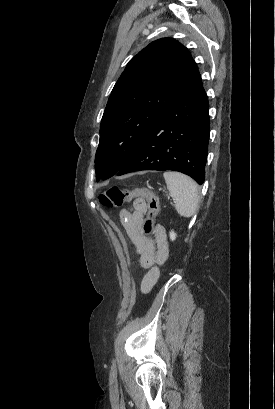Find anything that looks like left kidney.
I'll list each match as a JSON object with an SVG mask.
<instances>
[{
  "label": "left kidney",
  "instance_id": "5707ae66",
  "mask_svg": "<svg viewBox=\"0 0 275 409\" xmlns=\"http://www.w3.org/2000/svg\"><path fill=\"white\" fill-rule=\"evenodd\" d=\"M170 239H171V241H175V239H176V233H174V231H171V233H170Z\"/></svg>",
  "mask_w": 275,
  "mask_h": 409
}]
</instances>
